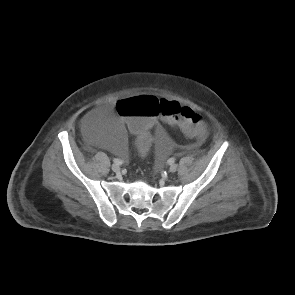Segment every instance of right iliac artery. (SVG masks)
<instances>
[{"mask_svg":"<svg viewBox=\"0 0 295 295\" xmlns=\"http://www.w3.org/2000/svg\"><path fill=\"white\" fill-rule=\"evenodd\" d=\"M113 162L118 165H121L123 163L122 160H120V159H114Z\"/></svg>","mask_w":295,"mask_h":295,"instance_id":"82829eb1","label":"right iliac artery"}]
</instances>
